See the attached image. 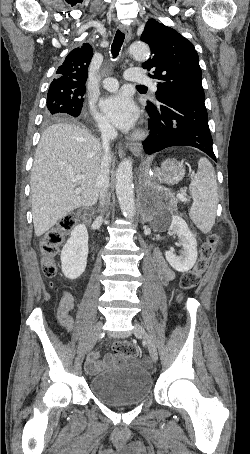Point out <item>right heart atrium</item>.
<instances>
[{
  "mask_svg": "<svg viewBox=\"0 0 250 454\" xmlns=\"http://www.w3.org/2000/svg\"><path fill=\"white\" fill-rule=\"evenodd\" d=\"M90 113L95 120L97 126L103 130V131H109L110 130V125L108 121L101 116L99 113H97L94 109L91 108Z\"/></svg>",
  "mask_w": 250,
  "mask_h": 454,
  "instance_id": "right-heart-atrium-1",
  "label": "right heart atrium"
}]
</instances>
